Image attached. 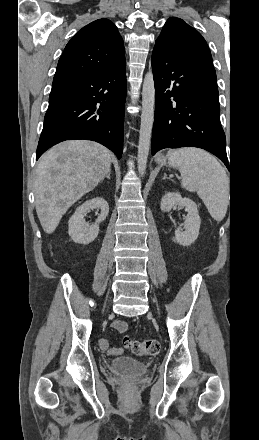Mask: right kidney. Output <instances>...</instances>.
Segmentation results:
<instances>
[{"instance_id": "right-kidney-1", "label": "right kidney", "mask_w": 259, "mask_h": 440, "mask_svg": "<svg viewBox=\"0 0 259 440\" xmlns=\"http://www.w3.org/2000/svg\"><path fill=\"white\" fill-rule=\"evenodd\" d=\"M91 209H100L96 223L89 225L85 222L84 216ZM109 213V205L101 197L86 201L79 206L69 220L68 234L78 244H89L94 241L99 233V224L103 222Z\"/></svg>"}]
</instances>
